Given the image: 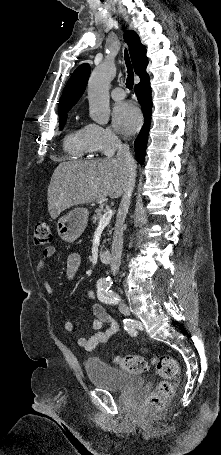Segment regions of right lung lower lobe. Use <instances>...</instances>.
Wrapping results in <instances>:
<instances>
[{
	"label": "right lung lower lobe",
	"instance_id": "1",
	"mask_svg": "<svg viewBox=\"0 0 221 455\" xmlns=\"http://www.w3.org/2000/svg\"><path fill=\"white\" fill-rule=\"evenodd\" d=\"M140 79H141L140 83L135 86V93L143 109L144 124L142 126V129L140 130L138 137L134 142V146L137 161L140 164H143L145 159V151L151 122L152 97L148 74L145 72Z\"/></svg>",
	"mask_w": 221,
	"mask_h": 455
}]
</instances>
